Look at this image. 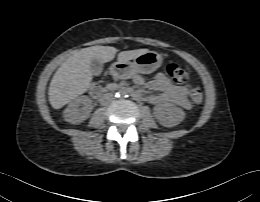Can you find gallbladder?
<instances>
[{
  "label": "gallbladder",
  "instance_id": "gallbladder-1",
  "mask_svg": "<svg viewBox=\"0 0 260 202\" xmlns=\"http://www.w3.org/2000/svg\"><path fill=\"white\" fill-rule=\"evenodd\" d=\"M91 73L95 76H99L103 71V65L100 60L93 59L90 64Z\"/></svg>",
  "mask_w": 260,
  "mask_h": 202
}]
</instances>
